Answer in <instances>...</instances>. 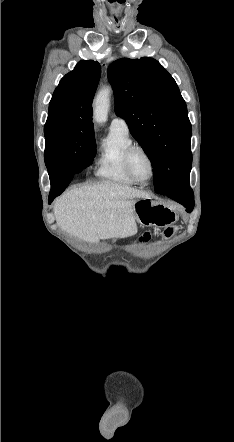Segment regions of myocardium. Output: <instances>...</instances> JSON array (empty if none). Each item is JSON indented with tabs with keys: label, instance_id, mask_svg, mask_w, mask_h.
<instances>
[{
	"label": "myocardium",
	"instance_id": "f54148a6",
	"mask_svg": "<svg viewBox=\"0 0 234 442\" xmlns=\"http://www.w3.org/2000/svg\"><path fill=\"white\" fill-rule=\"evenodd\" d=\"M135 151L143 152L146 155V157L148 158V161L150 163L151 174H150L149 179L146 182L140 181L135 176V174H134V172L132 170V167H131V157H132V155H133V153ZM124 166H125V170H126L127 174L137 184L146 185L154 178V175H155V162H154V159H153L152 155L150 154V152L145 147H143L141 145H135L134 144V145L130 146L126 150L125 155H124Z\"/></svg>",
	"mask_w": 234,
	"mask_h": 442
}]
</instances>
